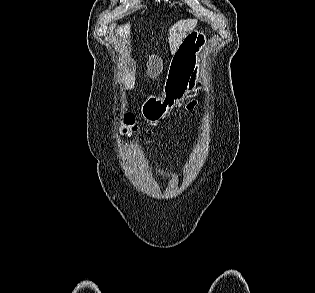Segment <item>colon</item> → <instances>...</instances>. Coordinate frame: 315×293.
Returning <instances> with one entry per match:
<instances>
[{
	"mask_svg": "<svg viewBox=\"0 0 315 293\" xmlns=\"http://www.w3.org/2000/svg\"><path fill=\"white\" fill-rule=\"evenodd\" d=\"M196 101H191L187 105V109L191 110L195 107ZM121 128L123 133H132L136 130L134 118L130 114H126L121 118Z\"/></svg>",
	"mask_w": 315,
	"mask_h": 293,
	"instance_id": "obj_1",
	"label": "colon"
}]
</instances>
